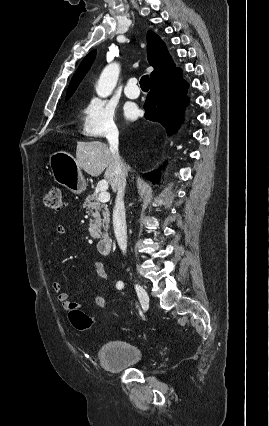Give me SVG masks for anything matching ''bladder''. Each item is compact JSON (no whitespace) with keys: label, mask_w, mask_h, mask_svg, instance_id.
Wrapping results in <instances>:
<instances>
[{"label":"bladder","mask_w":269,"mask_h":426,"mask_svg":"<svg viewBox=\"0 0 269 426\" xmlns=\"http://www.w3.org/2000/svg\"><path fill=\"white\" fill-rule=\"evenodd\" d=\"M97 358L108 370L120 371L141 364L144 361V353L132 342L111 340L99 347Z\"/></svg>","instance_id":"31cf9c89"}]
</instances>
